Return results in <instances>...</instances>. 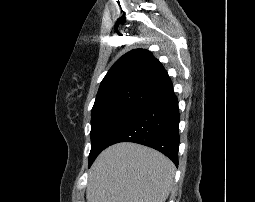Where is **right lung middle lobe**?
Segmentation results:
<instances>
[{"mask_svg":"<svg viewBox=\"0 0 255 202\" xmlns=\"http://www.w3.org/2000/svg\"><path fill=\"white\" fill-rule=\"evenodd\" d=\"M136 110H114L93 115L91 118V151L89 166L107 147L111 137L136 113Z\"/></svg>","mask_w":255,"mask_h":202,"instance_id":"obj_1","label":"right lung middle lobe"}]
</instances>
